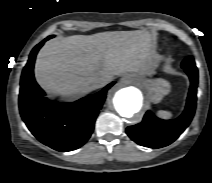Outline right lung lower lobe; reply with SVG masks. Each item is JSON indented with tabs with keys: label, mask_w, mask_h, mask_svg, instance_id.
Returning <instances> with one entry per match:
<instances>
[{
	"label": "right lung lower lobe",
	"mask_w": 212,
	"mask_h": 183,
	"mask_svg": "<svg viewBox=\"0 0 212 183\" xmlns=\"http://www.w3.org/2000/svg\"><path fill=\"white\" fill-rule=\"evenodd\" d=\"M50 38L52 36L33 48L23 69L19 109L28 129L40 142L57 151L67 152L81 147L90 138L107 90L114 82L100 92L73 103L48 100L34 79L33 67L37 52Z\"/></svg>",
	"instance_id": "right-lung-lower-lobe-1"
}]
</instances>
